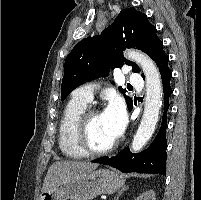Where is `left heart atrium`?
I'll return each mask as SVG.
<instances>
[{
  "instance_id": "left-heart-atrium-1",
  "label": "left heart atrium",
  "mask_w": 201,
  "mask_h": 200,
  "mask_svg": "<svg viewBox=\"0 0 201 200\" xmlns=\"http://www.w3.org/2000/svg\"><path fill=\"white\" fill-rule=\"evenodd\" d=\"M111 134L116 140L119 138L126 125V115L123 106L118 101H112L103 113Z\"/></svg>"
}]
</instances>
